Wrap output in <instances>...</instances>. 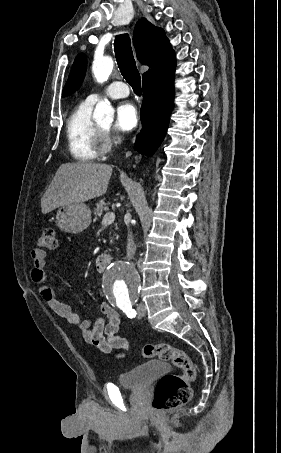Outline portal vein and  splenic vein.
Instances as JSON below:
<instances>
[{"instance_id":"portal-vein-and-splenic-vein-1","label":"portal vein and splenic vein","mask_w":281,"mask_h":453,"mask_svg":"<svg viewBox=\"0 0 281 453\" xmlns=\"http://www.w3.org/2000/svg\"><path fill=\"white\" fill-rule=\"evenodd\" d=\"M103 220H105V222H113V220H115V212H106L103 216Z\"/></svg>"}]
</instances>
